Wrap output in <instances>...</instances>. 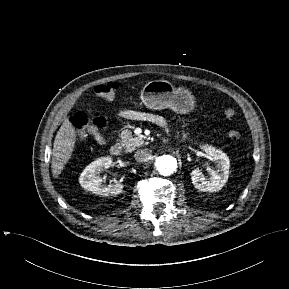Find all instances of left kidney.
Returning <instances> with one entry per match:
<instances>
[{
  "instance_id": "1",
  "label": "left kidney",
  "mask_w": 289,
  "mask_h": 289,
  "mask_svg": "<svg viewBox=\"0 0 289 289\" xmlns=\"http://www.w3.org/2000/svg\"><path fill=\"white\" fill-rule=\"evenodd\" d=\"M201 149L205 151L211 160L216 161L217 170L210 172V177L205 178L199 169L191 172V180L194 187L203 192H217L222 189L229 177L230 161L228 156L221 150L209 145H202Z\"/></svg>"
}]
</instances>
